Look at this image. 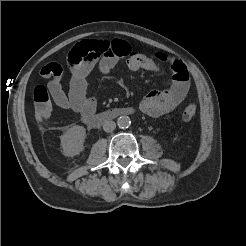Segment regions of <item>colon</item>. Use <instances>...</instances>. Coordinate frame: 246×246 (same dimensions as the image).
<instances>
[{
    "instance_id": "5ec220e1",
    "label": "colon",
    "mask_w": 246,
    "mask_h": 246,
    "mask_svg": "<svg viewBox=\"0 0 246 246\" xmlns=\"http://www.w3.org/2000/svg\"><path fill=\"white\" fill-rule=\"evenodd\" d=\"M33 99L37 118L39 120L50 119L52 114V108L47 89L41 85L36 86L33 92ZM196 111L197 107L195 103H188L183 110V119L185 121L192 120L196 115Z\"/></svg>"
}]
</instances>
